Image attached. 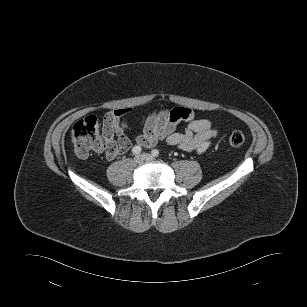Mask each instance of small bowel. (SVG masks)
I'll return each mask as SVG.
<instances>
[{
	"mask_svg": "<svg viewBox=\"0 0 307 307\" xmlns=\"http://www.w3.org/2000/svg\"><path fill=\"white\" fill-rule=\"evenodd\" d=\"M129 109H118L105 116L103 133L107 148L103 150L107 159L112 160L125 154L131 147V140L119 125V118L129 113ZM185 122L187 127L183 133L177 132V126ZM218 131L207 119H196L194 112L185 107L152 112L145 120L141 134L134 136L137 146L154 147L159 141L177 147L183 151L205 152Z\"/></svg>",
	"mask_w": 307,
	"mask_h": 307,
	"instance_id": "c3829d8e",
	"label": "small bowel"
}]
</instances>
